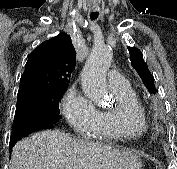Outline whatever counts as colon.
I'll list each match as a JSON object with an SVG mask.
<instances>
[{
	"instance_id": "1",
	"label": "colon",
	"mask_w": 177,
	"mask_h": 169,
	"mask_svg": "<svg viewBox=\"0 0 177 169\" xmlns=\"http://www.w3.org/2000/svg\"><path fill=\"white\" fill-rule=\"evenodd\" d=\"M151 169H160V168H158V167H152Z\"/></svg>"
}]
</instances>
